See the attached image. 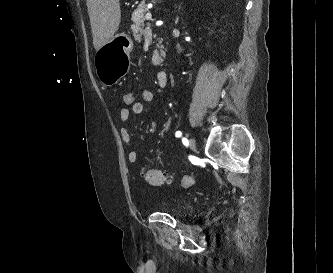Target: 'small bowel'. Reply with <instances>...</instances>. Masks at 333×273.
I'll use <instances>...</instances> for the list:
<instances>
[{"label": "small bowel", "instance_id": "obj_1", "mask_svg": "<svg viewBox=\"0 0 333 273\" xmlns=\"http://www.w3.org/2000/svg\"><path fill=\"white\" fill-rule=\"evenodd\" d=\"M153 92L148 89L145 88L141 91V101H135L133 100L132 103H130V109L128 108H120L118 111V118L120 121L122 122H126L129 117H130V113L134 114V115H140L143 113L144 111V105L143 103H149L153 100ZM120 135L122 140L124 141L125 144L129 145L130 144V140H131V135L130 132L127 128L122 127L120 129ZM127 160L130 164L132 165H136L138 163V154L135 150L133 149H129L127 152Z\"/></svg>", "mask_w": 333, "mask_h": 273}]
</instances>
